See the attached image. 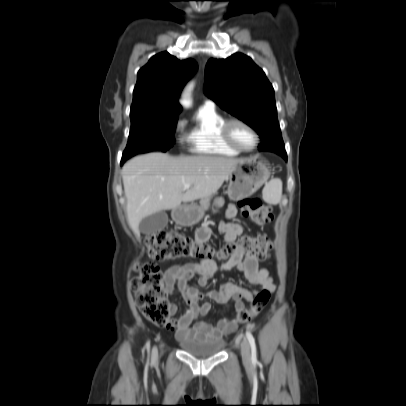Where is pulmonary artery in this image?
Returning <instances> with one entry per match:
<instances>
[{
	"label": "pulmonary artery",
	"instance_id": "e3ab8cb5",
	"mask_svg": "<svg viewBox=\"0 0 406 406\" xmlns=\"http://www.w3.org/2000/svg\"><path fill=\"white\" fill-rule=\"evenodd\" d=\"M204 105L214 106V103H213L212 101H210V100H206V101L204 102Z\"/></svg>",
	"mask_w": 406,
	"mask_h": 406
}]
</instances>
